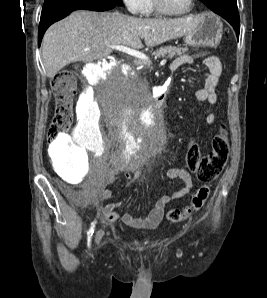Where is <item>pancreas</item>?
Returning a JSON list of instances; mask_svg holds the SVG:
<instances>
[{
    "instance_id": "obj_1",
    "label": "pancreas",
    "mask_w": 267,
    "mask_h": 298,
    "mask_svg": "<svg viewBox=\"0 0 267 298\" xmlns=\"http://www.w3.org/2000/svg\"><path fill=\"white\" fill-rule=\"evenodd\" d=\"M187 51V48L175 47V46H164L153 53L154 56L173 58L174 56H180ZM135 65H147L144 61H135Z\"/></svg>"
}]
</instances>
